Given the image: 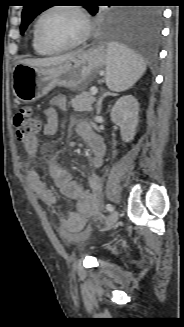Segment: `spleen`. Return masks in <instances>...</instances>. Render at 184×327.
Wrapping results in <instances>:
<instances>
[{
	"mask_svg": "<svg viewBox=\"0 0 184 327\" xmlns=\"http://www.w3.org/2000/svg\"><path fill=\"white\" fill-rule=\"evenodd\" d=\"M146 71L141 57L115 42L107 46L106 84L111 91L131 88Z\"/></svg>",
	"mask_w": 184,
	"mask_h": 327,
	"instance_id": "3e777b00",
	"label": "spleen"
}]
</instances>
